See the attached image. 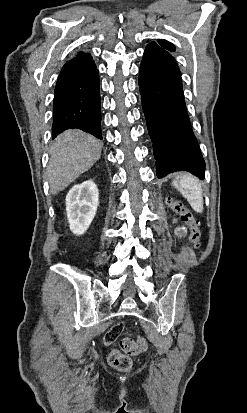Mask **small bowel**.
I'll return each mask as SVG.
<instances>
[{
	"instance_id": "small-bowel-1",
	"label": "small bowel",
	"mask_w": 247,
	"mask_h": 413,
	"mask_svg": "<svg viewBox=\"0 0 247 413\" xmlns=\"http://www.w3.org/2000/svg\"><path fill=\"white\" fill-rule=\"evenodd\" d=\"M175 234L177 237H184L186 235V228L185 227H177L175 230ZM116 329H109L107 331V334L103 336V341L105 343H108L109 347L113 346V341L114 338H117L119 336V331H124L126 328V325L124 322H117L115 325Z\"/></svg>"
}]
</instances>
